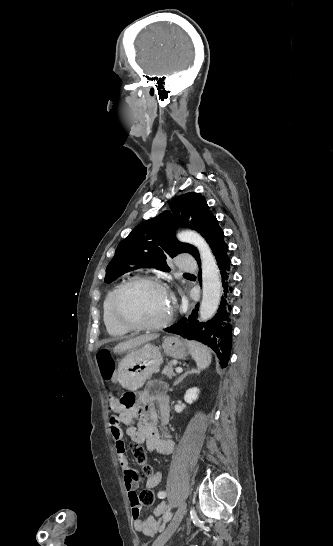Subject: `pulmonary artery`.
Listing matches in <instances>:
<instances>
[{
    "label": "pulmonary artery",
    "mask_w": 333,
    "mask_h": 546,
    "mask_svg": "<svg viewBox=\"0 0 333 546\" xmlns=\"http://www.w3.org/2000/svg\"><path fill=\"white\" fill-rule=\"evenodd\" d=\"M177 264L181 270L189 271L194 269L195 262L193 258L190 257L189 255H181L178 258Z\"/></svg>",
    "instance_id": "obj_1"
}]
</instances>
